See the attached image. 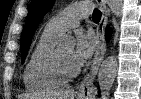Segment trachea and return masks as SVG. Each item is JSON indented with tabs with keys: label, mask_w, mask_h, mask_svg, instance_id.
<instances>
[{
	"label": "trachea",
	"mask_w": 141,
	"mask_h": 99,
	"mask_svg": "<svg viewBox=\"0 0 141 99\" xmlns=\"http://www.w3.org/2000/svg\"><path fill=\"white\" fill-rule=\"evenodd\" d=\"M92 19L94 22H99L101 19V11H99L98 9H94Z\"/></svg>",
	"instance_id": "1"
}]
</instances>
